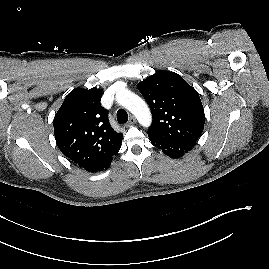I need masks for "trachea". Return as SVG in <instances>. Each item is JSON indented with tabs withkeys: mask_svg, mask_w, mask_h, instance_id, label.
<instances>
[{
	"mask_svg": "<svg viewBox=\"0 0 269 269\" xmlns=\"http://www.w3.org/2000/svg\"><path fill=\"white\" fill-rule=\"evenodd\" d=\"M117 121L120 124L126 123L128 121V114L124 109H119L117 111Z\"/></svg>",
	"mask_w": 269,
	"mask_h": 269,
	"instance_id": "1",
	"label": "trachea"
}]
</instances>
